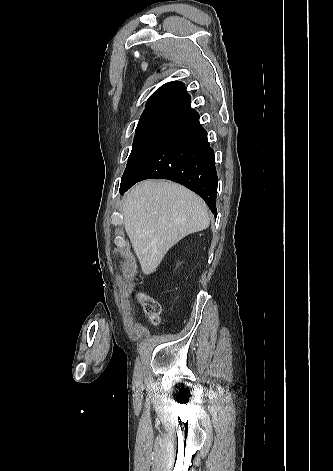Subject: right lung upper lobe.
<instances>
[{"instance_id":"obj_1","label":"right lung upper lobe","mask_w":333,"mask_h":471,"mask_svg":"<svg viewBox=\"0 0 333 471\" xmlns=\"http://www.w3.org/2000/svg\"><path fill=\"white\" fill-rule=\"evenodd\" d=\"M191 111L190 96L181 82H168L149 98L141 117H159L178 121Z\"/></svg>"}]
</instances>
